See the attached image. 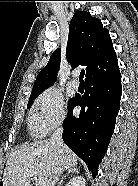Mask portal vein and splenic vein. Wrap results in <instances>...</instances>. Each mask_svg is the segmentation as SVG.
Here are the masks:
<instances>
[{
	"mask_svg": "<svg viewBox=\"0 0 138 186\" xmlns=\"http://www.w3.org/2000/svg\"><path fill=\"white\" fill-rule=\"evenodd\" d=\"M27 177H30V178L32 177V178L36 181V186H45V184H44L40 179H37V176L35 175L34 172L30 171V172L27 174V176H25V177L22 179V181H25V179H26Z\"/></svg>",
	"mask_w": 138,
	"mask_h": 186,
	"instance_id": "18ae733b",
	"label": "portal vein and splenic vein"
}]
</instances>
